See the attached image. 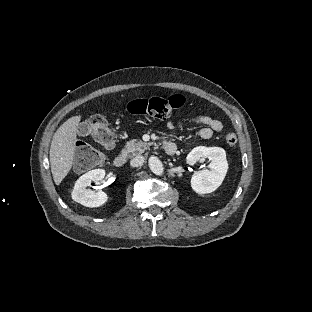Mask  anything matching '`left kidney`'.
<instances>
[{
    "label": "left kidney",
    "instance_id": "obj_1",
    "mask_svg": "<svg viewBox=\"0 0 312 312\" xmlns=\"http://www.w3.org/2000/svg\"><path fill=\"white\" fill-rule=\"evenodd\" d=\"M205 158L211 161L208 165L209 170L196 171L191 178V187L198 194L211 193L216 190L223 182L228 170L226 152L220 147H195L187 155L186 161L193 165Z\"/></svg>",
    "mask_w": 312,
    "mask_h": 312
}]
</instances>
